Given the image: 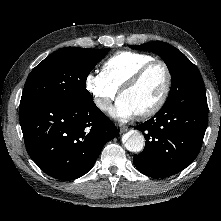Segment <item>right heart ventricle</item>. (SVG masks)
<instances>
[{"label": "right heart ventricle", "instance_id": "e07e8e85", "mask_svg": "<svg viewBox=\"0 0 221 221\" xmlns=\"http://www.w3.org/2000/svg\"><path fill=\"white\" fill-rule=\"evenodd\" d=\"M153 59V56L146 53L121 51L103 63L102 73L118 90L139 67Z\"/></svg>", "mask_w": 221, "mask_h": 221}]
</instances>
